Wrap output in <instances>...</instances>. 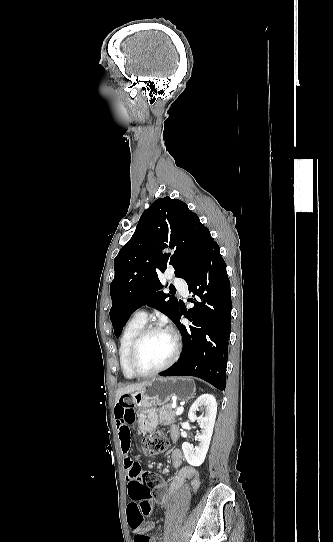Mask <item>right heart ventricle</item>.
Returning <instances> with one entry per match:
<instances>
[{"label": "right heart ventricle", "mask_w": 333, "mask_h": 542, "mask_svg": "<svg viewBox=\"0 0 333 542\" xmlns=\"http://www.w3.org/2000/svg\"><path fill=\"white\" fill-rule=\"evenodd\" d=\"M145 324L146 322L144 321L132 318L124 328L120 339L119 364L123 376L127 379L134 378L128 367L129 349L136 336L144 328Z\"/></svg>", "instance_id": "1"}]
</instances>
